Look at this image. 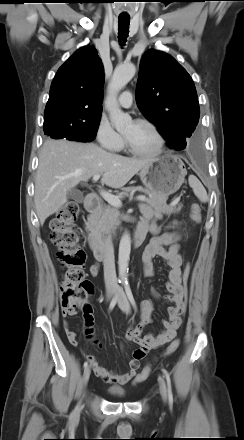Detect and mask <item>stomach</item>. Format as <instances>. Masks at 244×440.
Listing matches in <instances>:
<instances>
[{
  "label": "stomach",
  "instance_id": "obj_1",
  "mask_svg": "<svg viewBox=\"0 0 244 440\" xmlns=\"http://www.w3.org/2000/svg\"><path fill=\"white\" fill-rule=\"evenodd\" d=\"M187 174L184 163L175 155L166 154L154 158L139 172L148 192L163 197L175 193L184 183Z\"/></svg>",
  "mask_w": 244,
  "mask_h": 440
}]
</instances>
